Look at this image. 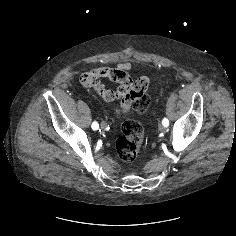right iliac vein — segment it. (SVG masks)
Returning <instances> with one entry per match:
<instances>
[{"label": "right iliac vein", "mask_w": 236, "mask_h": 236, "mask_svg": "<svg viewBox=\"0 0 236 236\" xmlns=\"http://www.w3.org/2000/svg\"><path fill=\"white\" fill-rule=\"evenodd\" d=\"M106 126H107V124H106L105 122H101V125H100V127H101L102 129H105V128H106Z\"/></svg>", "instance_id": "right-iliac-vein-1"}]
</instances>
